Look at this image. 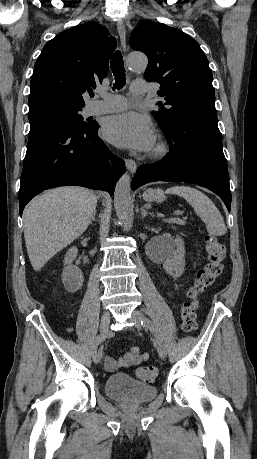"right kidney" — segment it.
Returning <instances> with one entry per match:
<instances>
[{
	"label": "right kidney",
	"instance_id": "obj_1",
	"mask_svg": "<svg viewBox=\"0 0 257 459\" xmlns=\"http://www.w3.org/2000/svg\"><path fill=\"white\" fill-rule=\"evenodd\" d=\"M78 254L77 247H71L64 257V269L62 273V282L65 286L66 291L69 293H75L79 289H81L83 285V274L82 271L73 266L72 263L76 259Z\"/></svg>",
	"mask_w": 257,
	"mask_h": 459
}]
</instances>
